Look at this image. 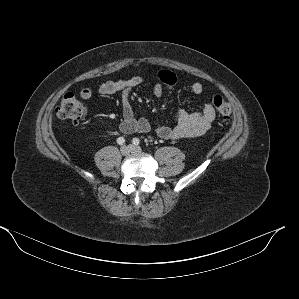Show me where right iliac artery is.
I'll list each match as a JSON object with an SVG mask.
<instances>
[{"label":"right iliac artery","instance_id":"82829eb1","mask_svg":"<svg viewBox=\"0 0 299 299\" xmlns=\"http://www.w3.org/2000/svg\"><path fill=\"white\" fill-rule=\"evenodd\" d=\"M117 143L119 145H123L125 143V139L123 137H119V138H117Z\"/></svg>","mask_w":299,"mask_h":299}]
</instances>
